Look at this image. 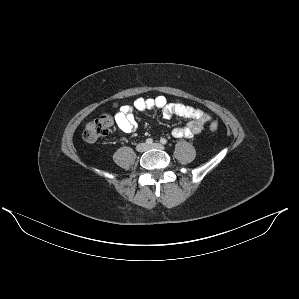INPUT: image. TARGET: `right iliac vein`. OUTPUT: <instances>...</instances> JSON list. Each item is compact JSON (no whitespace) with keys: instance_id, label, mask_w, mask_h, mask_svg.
Listing matches in <instances>:
<instances>
[{"instance_id":"1","label":"right iliac vein","mask_w":299,"mask_h":299,"mask_svg":"<svg viewBox=\"0 0 299 299\" xmlns=\"http://www.w3.org/2000/svg\"><path fill=\"white\" fill-rule=\"evenodd\" d=\"M136 150L140 153H143L147 150V145L145 143H139L137 146H136Z\"/></svg>"}]
</instances>
